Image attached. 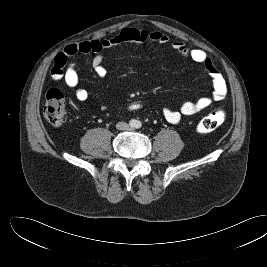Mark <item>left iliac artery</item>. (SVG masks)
<instances>
[{"label":"left iliac artery","instance_id":"obj_1","mask_svg":"<svg viewBox=\"0 0 267 267\" xmlns=\"http://www.w3.org/2000/svg\"><path fill=\"white\" fill-rule=\"evenodd\" d=\"M141 127H142V124H141L140 121H138V122L136 123V128H141Z\"/></svg>","mask_w":267,"mask_h":267}]
</instances>
